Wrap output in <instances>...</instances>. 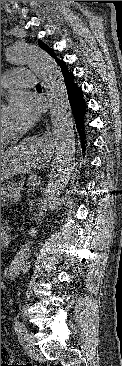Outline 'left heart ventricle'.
<instances>
[{
    "instance_id": "obj_1",
    "label": "left heart ventricle",
    "mask_w": 122,
    "mask_h": 366,
    "mask_svg": "<svg viewBox=\"0 0 122 366\" xmlns=\"http://www.w3.org/2000/svg\"><path fill=\"white\" fill-rule=\"evenodd\" d=\"M16 132V129L10 119L7 117L6 108L1 106V133L10 135Z\"/></svg>"
}]
</instances>
